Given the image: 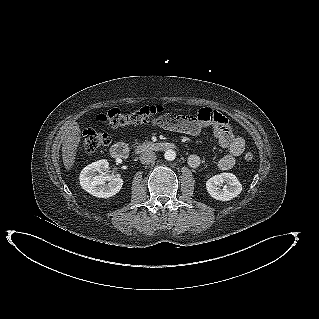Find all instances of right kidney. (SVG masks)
Segmentation results:
<instances>
[{
  "instance_id": "ca27d5eb",
  "label": "right kidney",
  "mask_w": 319,
  "mask_h": 319,
  "mask_svg": "<svg viewBox=\"0 0 319 319\" xmlns=\"http://www.w3.org/2000/svg\"><path fill=\"white\" fill-rule=\"evenodd\" d=\"M108 166L109 162L106 159L87 165L80 173L81 187L98 198H109L116 195L123 186V179L120 176H109L105 172Z\"/></svg>"
}]
</instances>
